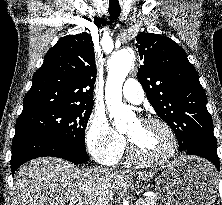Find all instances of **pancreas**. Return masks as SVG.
I'll return each mask as SVG.
<instances>
[{"label": "pancreas", "mask_w": 222, "mask_h": 205, "mask_svg": "<svg viewBox=\"0 0 222 205\" xmlns=\"http://www.w3.org/2000/svg\"><path fill=\"white\" fill-rule=\"evenodd\" d=\"M138 205H159V204L157 203L156 197L147 196V197L140 198L138 200Z\"/></svg>", "instance_id": "1"}]
</instances>
